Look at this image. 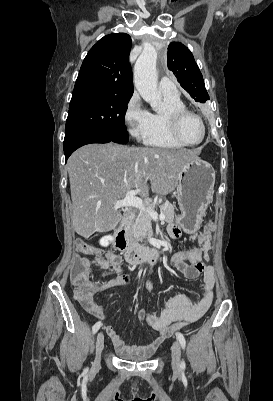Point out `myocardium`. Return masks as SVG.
Instances as JSON below:
<instances>
[{"mask_svg": "<svg viewBox=\"0 0 273 401\" xmlns=\"http://www.w3.org/2000/svg\"><path fill=\"white\" fill-rule=\"evenodd\" d=\"M196 116L199 121L201 122L202 128H203V137L199 142H195V143H189L186 142L185 140H183L179 134V124L181 122V120L185 117V116ZM167 123H168V129L170 132V135L172 136V138L180 143L182 146L185 147H196L201 145L207 138L208 135V128H207V124L205 119L203 118L202 115H200L199 113L195 112V111H191L188 110L186 108L183 109H175V110H168L167 114Z\"/></svg>", "mask_w": 273, "mask_h": 401, "instance_id": "obj_1", "label": "myocardium"}]
</instances>
